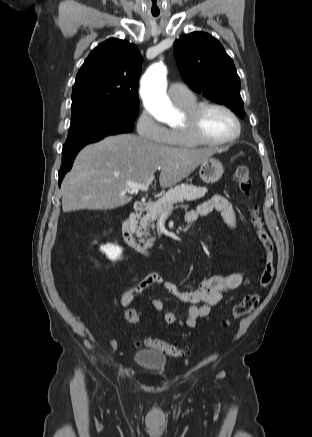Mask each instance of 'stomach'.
I'll list each match as a JSON object with an SVG mask.
<instances>
[{"label":"stomach","mask_w":312,"mask_h":437,"mask_svg":"<svg viewBox=\"0 0 312 437\" xmlns=\"http://www.w3.org/2000/svg\"><path fill=\"white\" fill-rule=\"evenodd\" d=\"M223 172V165L216 158L209 157L200 164V178L207 184L216 183L222 177Z\"/></svg>","instance_id":"stomach-1"}]
</instances>
